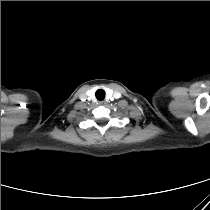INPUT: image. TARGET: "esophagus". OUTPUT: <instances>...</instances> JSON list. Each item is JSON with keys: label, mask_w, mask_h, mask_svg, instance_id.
Wrapping results in <instances>:
<instances>
[{"label": "esophagus", "mask_w": 210, "mask_h": 210, "mask_svg": "<svg viewBox=\"0 0 210 210\" xmlns=\"http://www.w3.org/2000/svg\"><path fill=\"white\" fill-rule=\"evenodd\" d=\"M104 104H105L104 101H100V102H99V105H104Z\"/></svg>", "instance_id": "obj_1"}]
</instances>
